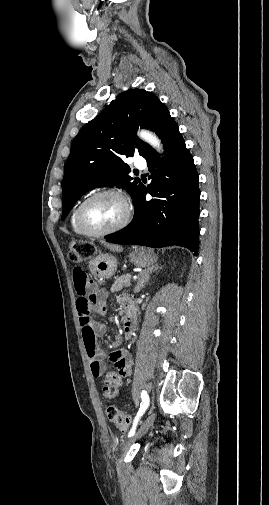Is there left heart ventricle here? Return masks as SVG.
Listing matches in <instances>:
<instances>
[{
    "instance_id": "left-heart-ventricle-1",
    "label": "left heart ventricle",
    "mask_w": 269,
    "mask_h": 505,
    "mask_svg": "<svg viewBox=\"0 0 269 505\" xmlns=\"http://www.w3.org/2000/svg\"><path fill=\"white\" fill-rule=\"evenodd\" d=\"M125 214L123 202L114 196L92 201L84 211L85 223L95 230H105L119 223Z\"/></svg>"
}]
</instances>
